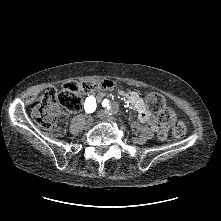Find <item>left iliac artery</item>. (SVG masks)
Wrapping results in <instances>:
<instances>
[{"mask_svg": "<svg viewBox=\"0 0 221 221\" xmlns=\"http://www.w3.org/2000/svg\"><path fill=\"white\" fill-rule=\"evenodd\" d=\"M102 106L110 108L109 107V100L108 99H104L103 102H102Z\"/></svg>", "mask_w": 221, "mask_h": 221, "instance_id": "left-iliac-artery-1", "label": "left iliac artery"}]
</instances>
